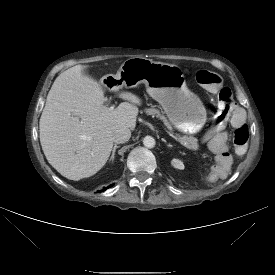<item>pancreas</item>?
Returning <instances> with one entry per match:
<instances>
[{
  "label": "pancreas",
  "mask_w": 275,
  "mask_h": 275,
  "mask_svg": "<svg viewBox=\"0 0 275 275\" xmlns=\"http://www.w3.org/2000/svg\"><path fill=\"white\" fill-rule=\"evenodd\" d=\"M145 113L147 115H152V116H156L157 118H159L168 128L171 129V125L168 122V120L166 119V117L164 115H162L160 113V111L158 109L155 108H149L145 110ZM180 142L191 149H194L197 146V139L193 138V137H187V136H183L180 137Z\"/></svg>",
  "instance_id": "1"
}]
</instances>
